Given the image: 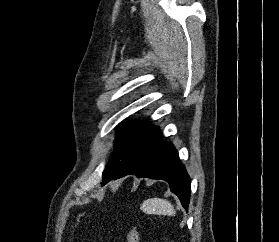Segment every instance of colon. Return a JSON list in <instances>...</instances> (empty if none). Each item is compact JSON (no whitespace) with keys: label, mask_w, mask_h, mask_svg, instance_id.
<instances>
[{"label":"colon","mask_w":279,"mask_h":242,"mask_svg":"<svg viewBox=\"0 0 279 242\" xmlns=\"http://www.w3.org/2000/svg\"><path fill=\"white\" fill-rule=\"evenodd\" d=\"M127 242H142L138 231L134 228L127 233Z\"/></svg>","instance_id":"5ec220e1"}]
</instances>
